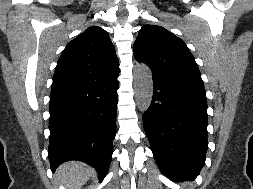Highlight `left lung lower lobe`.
<instances>
[{"instance_id": "obj_1", "label": "left lung lower lobe", "mask_w": 253, "mask_h": 189, "mask_svg": "<svg viewBox=\"0 0 253 189\" xmlns=\"http://www.w3.org/2000/svg\"><path fill=\"white\" fill-rule=\"evenodd\" d=\"M152 102L143 126L160 170L174 181L194 180L205 164L207 98L153 81Z\"/></svg>"}]
</instances>
